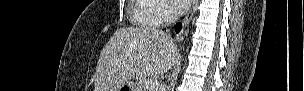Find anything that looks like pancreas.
<instances>
[{"mask_svg":"<svg viewBox=\"0 0 304 91\" xmlns=\"http://www.w3.org/2000/svg\"><path fill=\"white\" fill-rule=\"evenodd\" d=\"M145 81L146 79L145 78H140L138 81H137V85H136V91H147L145 88H144V84H145ZM152 91V90H151Z\"/></svg>","mask_w":304,"mask_h":91,"instance_id":"1","label":"pancreas"}]
</instances>
